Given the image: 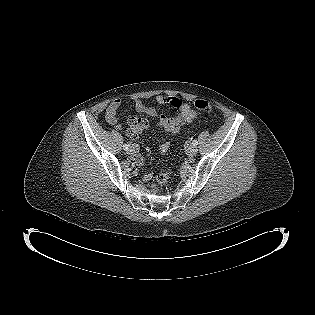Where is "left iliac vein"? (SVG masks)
Here are the masks:
<instances>
[{"label": "left iliac vein", "instance_id": "1", "mask_svg": "<svg viewBox=\"0 0 315 315\" xmlns=\"http://www.w3.org/2000/svg\"><path fill=\"white\" fill-rule=\"evenodd\" d=\"M197 153V147L194 145L189 146V148L187 149V154L189 156H193Z\"/></svg>", "mask_w": 315, "mask_h": 315}]
</instances>
